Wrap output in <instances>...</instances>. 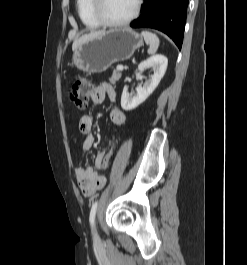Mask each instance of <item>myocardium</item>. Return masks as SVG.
<instances>
[{"label":"myocardium","mask_w":247,"mask_h":265,"mask_svg":"<svg viewBox=\"0 0 247 265\" xmlns=\"http://www.w3.org/2000/svg\"><path fill=\"white\" fill-rule=\"evenodd\" d=\"M104 0H92L91 9L95 19L105 27L118 28L132 23L138 16L142 7L143 0H136L135 8L131 15L124 20L113 21L108 19L103 13Z\"/></svg>","instance_id":"1"}]
</instances>
